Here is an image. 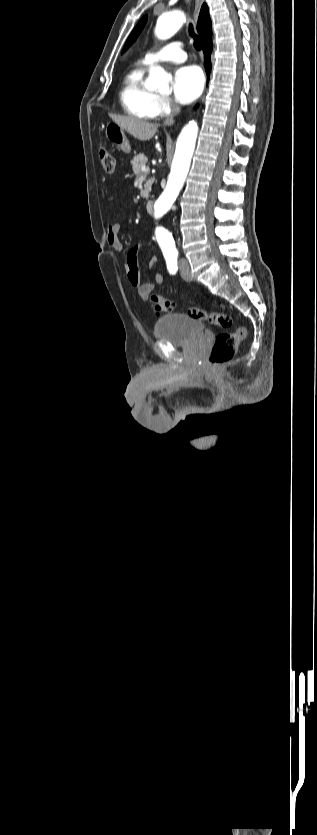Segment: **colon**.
<instances>
[{
    "mask_svg": "<svg viewBox=\"0 0 317 835\" xmlns=\"http://www.w3.org/2000/svg\"><path fill=\"white\" fill-rule=\"evenodd\" d=\"M100 162L103 170L107 174H113L115 171V157L107 149L101 148L99 152ZM150 299L155 306L156 314L170 312L173 310V302L163 298L159 295L150 294ZM188 315L197 320L208 322L209 324L218 325L222 328H229L233 325V318L227 314L218 312H209L201 310L197 307H190ZM247 330L244 326H239L234 333H219L216 335L209 354L208 362L212 367H218L231 359L235 354L237 345L246 338Z\"/></svg>",
    "mask_w": 317,
    "mask_h": 835,
    "instance_id": "colon-1",
    "label": "colon"
}]
</instances>
